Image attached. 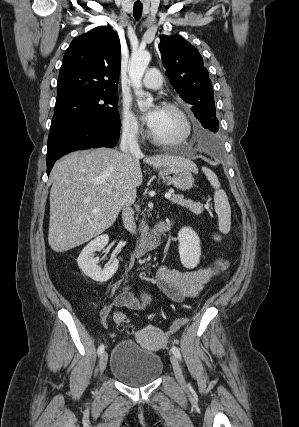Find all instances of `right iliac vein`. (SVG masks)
Masks as SVG:
<instances>
[{
  "mask_svg": "<svg viewBox=\"0 0 299 427\" xmlns=\"http://www.w3.org/2000/svg\"><path fill=\"white\" fill-rule=\"evenodd\" d=\"M107 360H108V354L106 352L102 353L99 360L100 373L104 372L107 365Z\"/></svg>",
  "mask_w": 299,
  "mask_h": 427,
  "instance_id": "right-iliac-vein-1",
  "label": "right iliac vein"
}]
</instances>
